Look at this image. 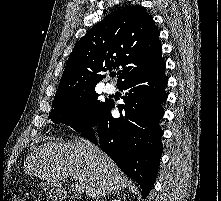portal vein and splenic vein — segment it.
I'll use <instances>...</instances> for the list:
<instances>
[{
    "label": "portal vein and splenic vein",
    "mask_w": 221,
    "mask_h": 201,
    "mask_svg": "<svg viewBox=\"0 0 221 201\" xmlns=\"http://www.w3.org/2000/svg\"><path fill=\"white\" fill-rule=\"evenodd\" d=\"M72 187L76 193H82L84 190L82 182L77 181V180H75V184H73Z\"/></svg>",
    "instance_id": "obj_1"
}]
</instances>
